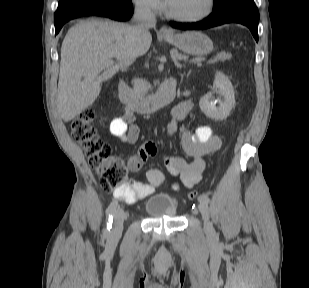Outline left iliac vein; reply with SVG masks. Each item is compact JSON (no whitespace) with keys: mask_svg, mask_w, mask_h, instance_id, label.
I'll list each match as a JSON object with an SVG mask.
<instances>
[{"mask_svg":"<svg viewBox=\"0 0 309 288\" xmlns=\"http://www.w3.org/2000/svg\"><path fill=\"white\" fill-rule=\"evenodd\" d=\"M198 208H199V211L204 221L205 230L209 234L213 233L214 229H213L212 224L209 221V208H208L207 203L205 201H199Z\"/></svg>","mask_w":309,"mask_h":288,"instance_id":"1","label":"left iliac vein"}]
</instances>
